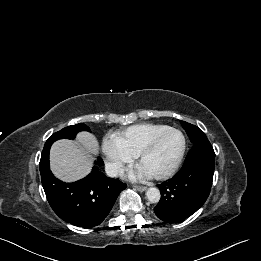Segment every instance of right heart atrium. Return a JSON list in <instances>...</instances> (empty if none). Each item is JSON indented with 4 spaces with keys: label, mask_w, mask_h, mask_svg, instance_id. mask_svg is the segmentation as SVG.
<instances>
[{
    "label": "right heart atrium",
    "mask_w": 261,
    "mask_h": 261,
    "mask_svg": "<svg viewBox=\"0 0 261 261\" xmlns=\"http://www.w3.org/2000/svg\"><path fill=\"white\" fill-rule=\"evenodd\" d=\"M102 150L112 174H121L124 168L133 161V157L127 153L114 136L104 139Z\"/></svg>",
    "instance_id": "1"
}]
</instances>
